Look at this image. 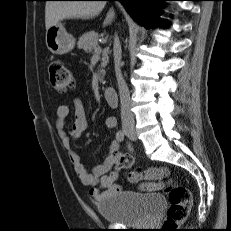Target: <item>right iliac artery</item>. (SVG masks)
<instances>
[{
	"mask_svg": "<svg viewBox=\"0 0 231 231\" xmlns=\"http://www.w3.org/2000/svg\"><path fill=\"white\" fill-rule=\"evenodd\" d=\"M124 137H125V133L123 130H119L117 133H116V139L118 142H122L124 140Z\"/></svg>",
	"mask_w": 231,
	"mask_h": 231,
	"instance_id": "obj_1",
	"label": "right iliac artery"
}]
</instances>
